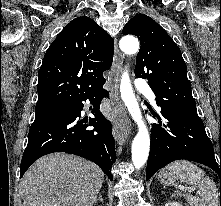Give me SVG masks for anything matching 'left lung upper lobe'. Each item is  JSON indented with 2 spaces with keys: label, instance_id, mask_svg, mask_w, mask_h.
<instances>
[{
  "label": "left lung upper lobe",
  "instance_id": "obj_1",
  "mask_svg": "<svg viewBox=\"0 0 221 206\" xmlns=\"http://www.w3.org/2000/svg\"><path fill=\"white\" fill-rule=\"evenodd\" d=\"M123 34L140 40L135 75L148 79L157 105L167 111L197 114L185 61L166 31L152 18L138 14L124 26Z\"/></svg>",
  "mask_w": 221,
  "mask_h": 206
}]
</instances>
